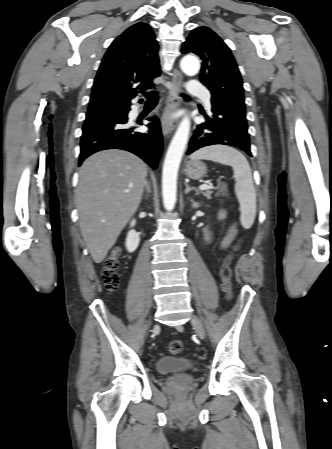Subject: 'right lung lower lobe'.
Instances as JSON below:
<instances>
[{"label": "right lung lower lobe", "instance_id": "1", "mask_svg": "<svg viewBox=\"0 0 332 449\" xmlns=\"http://www.w3.org/2000/svg\"><path fill=\"white\" fill-rule=\"evenodd\" d=\"M126 108L123 115L109 114L99 119L86 121L81 136L79 165L91 154L106 149H121L132 152L142 158L153 169L158 166L162 153V133L156 116L148 118L151 123L147 133L134 131L127 125Z\"/></svg>", "mask_w": 332, "mask_h": 449}]
</instances>
